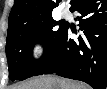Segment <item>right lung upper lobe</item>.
<instances>
[{
  "instance_id": "1",
  "label": "right lung upper lobe",
  "mask_w": 107,
  "mask_h": 89,
  "mask_svg": "<svg viewBox=\"0 0 107 89\" xmlns=\"http://www.w3.org/2000/svg\"><path fill=\"white\" fill-rule=\"evenodd\" d=\"M15 0L9 15V27L52 16V10L61 0ZM75 0H71V5Z\"/></svg>"
}]
</instances>
